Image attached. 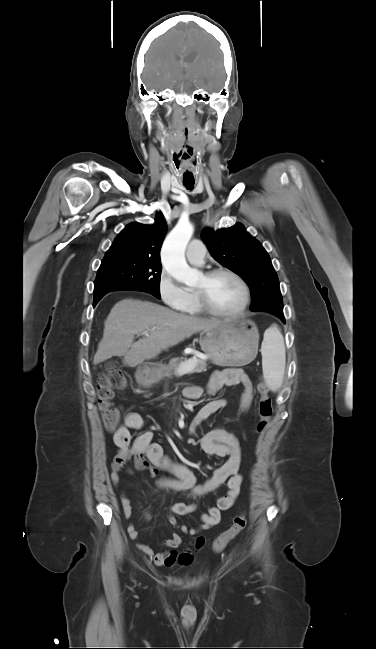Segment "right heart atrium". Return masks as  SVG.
Wrapping results in <instances>:
<instances>
[{"instance_id": "1", "label": "right heart atrium", "mask_w": 376, "mask_h": 649, "mask_svg": "<svg viewBox=\"0 0 376 649\" xmlns=\"http://www.w3.org/2000/svg\"><path fill=\"white\" fill-rule=\"evenodd\" d=\"M157 290L161 300L174 309H180L187 299L186 289L165 269L160 271Z\"/></svg>"}]
</instances>
